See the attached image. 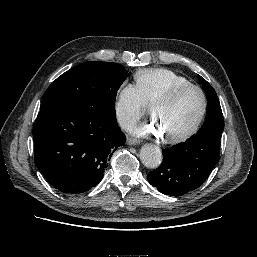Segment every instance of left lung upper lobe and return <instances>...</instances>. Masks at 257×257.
Masks as SVG:
<instances>
[{
  "label": "left lung upper lobe",
  "instance_id": "5c2ea615",
  "mask_svg": "<svg viewBox=\"0 0 257 257\" xmlns=\"http://www.w3.org/2000/svg\"><path fill=\"white\" fill-rule=\"evenodd\" d=\"M198 79L205 90L208 105L203 126L199 132L190 139H199L203 137L221 139L224 129V120L218 96L213 87L204 78L198 75Z\"/></svg>",
  "mask_w": 257,
  "mask_h": 257
}]
</instances>
